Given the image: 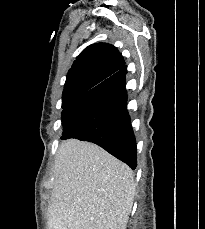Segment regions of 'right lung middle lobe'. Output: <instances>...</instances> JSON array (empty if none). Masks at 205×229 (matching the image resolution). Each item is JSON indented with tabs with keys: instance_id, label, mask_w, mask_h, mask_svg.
<instances>
[{
	"instance_id": "right-lung-middle-lobe-1",
	"label": "right lung middle lobe",
	"mask_w": 205,
	"mask_h": 229,
	"mask_svg": "<svg viewBox=\"0 0 205 229\" xmlns=\"http://www.w3.org/2000/svg\"><path fill=\"white\" fill-rule=\"evenodd\" d=\"M74 101H63L62 100V108L65 109L69 105H71Z\"/></svg>"
}]
</instances>
